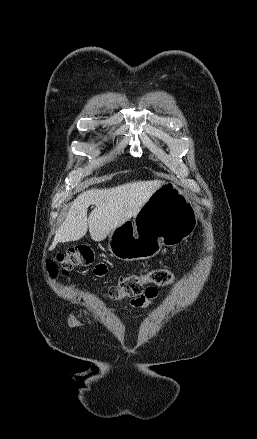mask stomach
<instances>
[{
  "mask_svg": "<svg viewBox=\"0 0 257 439\" xmlns=\"http://www.w3.org/2000/svg\"><path fill=\"white\" fill-rule=\"evenodd\" d=\"M198 211L192 197L176 183L164 182L133 217L109 235V251L124 261L149 259L162 245L175 246L197 226Z\"/></svg>",
  "mask_w": 257,
  "mask_h": 439,
  "instance_id": "1",
  "label": "stomach"
}]
</instances>
